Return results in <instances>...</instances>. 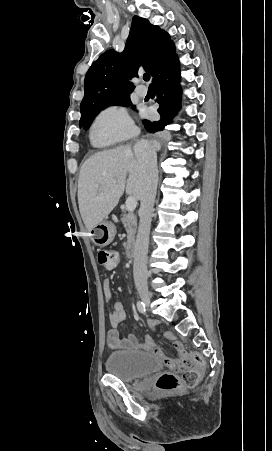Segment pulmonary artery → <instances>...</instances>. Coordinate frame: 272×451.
<instances>
[{"mask_svg":"<svg viewBox=\"0 0 272 451\" xmlns=\"http://www.w3.org/2000/svg\"><path fill=\"white\" fill-rule=\"evenodd\" d=\"M136 94L139 96V97H145L146 96V94H147V91L146 90H144V87L142 86V85H138L137 87H136Z\"/></svg>","mask_w":272,"mask_h":451,"instance_id":"1","label":"pulmonary artery"}]
</instances>
